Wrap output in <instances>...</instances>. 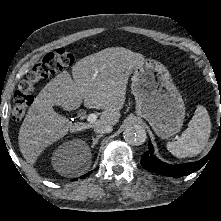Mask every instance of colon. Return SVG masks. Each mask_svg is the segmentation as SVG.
<instances>
[{
	"instance_id": "5ec220e1",
	"label": "colon",
	"mask_w": 221,
	"mask_h": 221,
	"mask_svg": "<svg viewBox=\"0 0 221 221\" xmlns=\"http://www.w3.org/2000/svg\"><path fill=\"white\" fill-rule=\"evenodd\" d=\"M74 58L65 49L47 53L23 79L13 95L12 116L21 120L34 100L35 86L73 64Z\"/></svg>"
}]
</instances>
